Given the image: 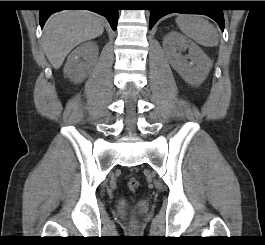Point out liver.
Instances as JSON below:
<instances>
[{
	"instance_id": "6515ba94",
	"label": "liver",
	"mask_w": 265,
	"mask_h": 245,
	"mask_svg": "<svg viewBox=\"0 0 265 245\" xmlns=\"http://www.w3.org/2000/svg\"><path fill=\"white\" fill-rule=\"evenodd\" d=\"M104 31V19L86 10L54 13L44 26L43 48L54 69H59L66 56L79 44L95 39Z\"/></svg>"
}]
</instances>
